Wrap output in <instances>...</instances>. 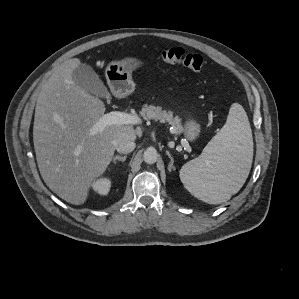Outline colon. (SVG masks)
Wrapping results in <instances>:
<instances>
[{
	"mask_svg": "<svg viewBox=\"0 0 299 299\" xmlns=\"http://www.w3.org/2000/svg\"><path fill=\"white\" fill-rule=\"evenodd\" d=\"M161 58L169 64H180L186 68L198 72L204 65L201 55L195 53H187L181 47H170L162 51Z\"/></svg>",
	"mask_w": 299,
	"mask_h": 299,
	"instance_id": "obj_1",
	"label": "colon"
}]
</instances>
